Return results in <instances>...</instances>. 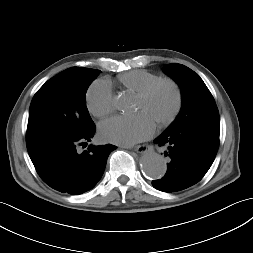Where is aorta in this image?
Returning a JSON list of instances; mask_svg holds the SVG:
<instances>
[{"label":"aorta","instance_id":"1","mask_svg":"<svg viewBox=\"0 0 253 253\" xmlns=\"http://www.w3.org/2000/svg\"><path fill=\"white\" fill-rule=\"evenodd\" d=\"M116 109L126 112L132 108L131 100L128 96L121 95L114 100ZM140 168L142 172L151 179H161L167 170L166 163L161 155L148 150L140 158Z\"/></svg>","mask_w":253,"mask_h":253}]
</instances>
